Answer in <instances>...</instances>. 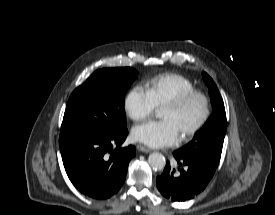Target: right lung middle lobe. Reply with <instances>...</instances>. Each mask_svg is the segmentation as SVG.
I'll return each instance as SVG.
<instances>
[{"mask_svg": "<svg viewBox=\"0 0 275 215\" xmlns=\"http://www.w3.org/2000/svg\"><path fill=\"white\" fill-rule=\"evenodd\" d=\"M136 75L130 67L95 71L71 94L60 135H105L125 129L124 96Z\"/></svg>", "mask_w": 275, "mask_h": 215, "instance_id": "1", "label": "right lung middle lobe"}]
</instances>
